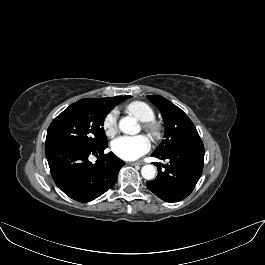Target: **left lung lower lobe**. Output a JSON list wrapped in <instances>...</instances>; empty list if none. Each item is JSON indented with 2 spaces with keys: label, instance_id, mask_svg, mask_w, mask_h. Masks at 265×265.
I'll use <instances>...</instances> for the list:
<instances>
[{
  "label": "left lung lower lobe",
  "instance_id": "obj_1",
  "mask_svg": "<svg viewBox=\"0 0 265 265\" xmlns=\"http://www.w3.org/2000/svg\"><path fill=\"white\" fill-rule=\"evenodd\" d=\"M204 153L202 140L173 148L164 154L153 153V157L167 160L168 163H155L158 176L146 183L148 189L166 202L186 198L202 174Z\"/></svg>",
  "mask_w": 265,
  "mask_h": 265
}]
</instances>
